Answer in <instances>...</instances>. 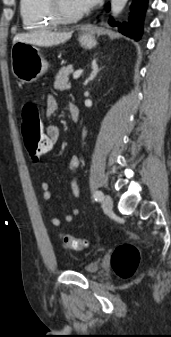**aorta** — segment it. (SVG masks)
<instances>
[{"instance_id": "aorta-1", "label": "aorta", "mask_w": 171, "mask_h": 337, "mask_svg": "<svg viewBox=\"0 0 171 337\" xmlns=\"http://www.w3.org/2000/svg\"><path fill=\"white\" fill-rule=\"evenodd\" d=\"M128 0H111V13L113 16L119 15L124 9Z\"/></svg>"}]
</instances>
